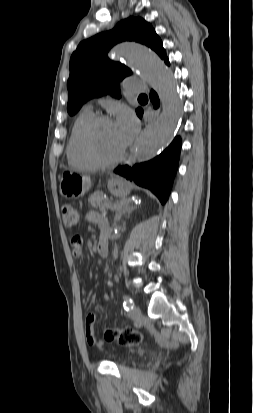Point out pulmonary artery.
<instances>
[{
  "instance_id": "pulmonary-artery-1",
  "label": "pulmonary artery",
  "mask_w": 253,
  "mask_h": 413,
  "mask_svg": "<svg viewBox=\"0 0 253 413\" xmlns=\"http://www.w3.org/2000/svg\"><path fill=\"white\" fill-rule=\"evenodd\" d=\"M126 88L133 93H143L146 91V88L142 83H137L133 81H129L127 83Z\"/></svg>"
}]
</instances>
